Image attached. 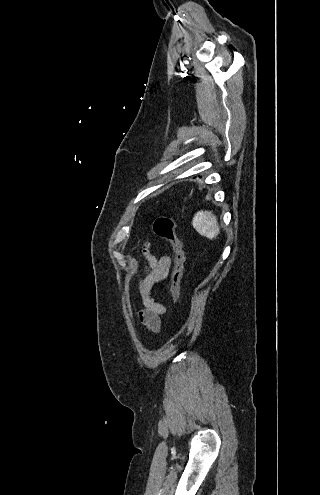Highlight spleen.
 Wrapping results in <instances>:
<instances>
[{"label": "spleen", "mask_w": 320, "mask_h": 495, "mask_svg": "<svg viewBox=\"0 0 320 495\" xmlns=\"http://www.w3.org/2000/svg\"><path fill=\"white\" fill-rule=\"evenodd\" d=\"M192 225L199 234L211 240L216 239L220 234L217 217L212 211H198L193 218Z\"/></svg>", "instance_id": "3e777b00"}]
</instances>
